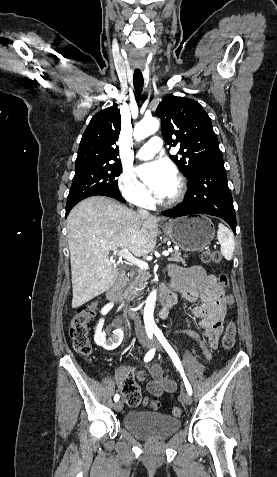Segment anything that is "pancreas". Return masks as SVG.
<instances>
[{"label":"pancreas","mask_w":277,"mask_h":477,"mask_svg":"<svg viewBox=\"0 0 277 477\" xmlns=\"http://www.w3.org/2000/svg\"><path fill=\"white\" fill-rule=\"evenodd\" d=\"M187 255L181 256L180 251H173V255L170 258V261L173 262H181L182 264H185V258ZM148 273L143 271V270H138L137 274L135 277H132L129 281L128 284V299H132L135 296H139V293L141 292V287L145 283V281L148 279Z\"/></svg>","instance_id":"cf45deb5"}]
</instances>
